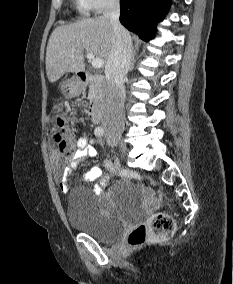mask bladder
Listing matches in <instances>:
<instances>
[{"mask_svg": "<svg viewBox=\"0 0 233 284\" xmlns=\"http://www.w3.org/2000/svg\"><path fill=\"white\" fill-rule=\"evenodd\" d=\"M139 189L128 181H121L105 194L102 202L117 206L137 205ZM67 217L72 228L100 242L114 241L123 230L122 222L101 212L97 199L84 188L70 191L67 199Z\"/></svg>", "mask_w": 233, "mask_h": 284, "instance_id": "1", "label": "bladder"}]
</instances>
